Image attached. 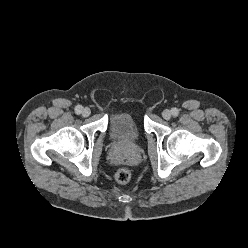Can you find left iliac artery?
<instances>
[{"label": "left iliac artery", "mask_w": 248, "mask_h": 248, "mask_svg": "<svg viewBox=\"0 0 248 248\" xmlns=\"http://www.w3.org/2000/svg\"><path fill=\"white\" fill-rule=\"evenodd\" d=\"M171 111H172L173 116H178L179 110L177 108H172Z\"/></svg>", "instance_id": "44dca946"}]
</instances>
